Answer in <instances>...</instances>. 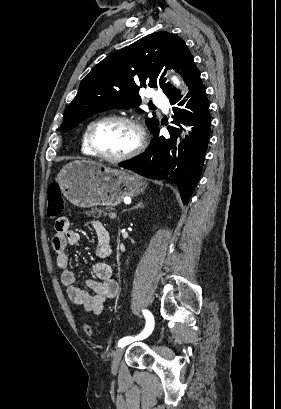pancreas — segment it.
Masks as SVG:
<instances>
[{"label": "pancreas", "instance_id": "cf45deb5", "mask_svg": "<svg viewBox=\"0 0 281 409\" xmlns=\"http://www.w3.org/2000/svg\"><path fill=\"white\" fill-rule=\"evenodd\" d=\"M94 215V217H96V219H99V217H102V213H103V217H106V215H109V213H104L103 209H95V211H87L86 215H88V217H90V215Z\"/></svg>", "mask_w": 281, "mask_h": 409}]
</instances>
